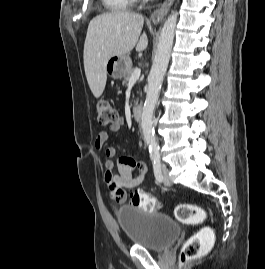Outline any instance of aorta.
Here are the masks:
<instances>
[{"label":"aorta","mask_w":265,"mask_h":269,"mask_svg":"<svg viewBox=\"0 0 265 269\" xmlns=\"http://www.w3.org/2000/svg\"><path fill=\"white\" fill-rule=\"evenodd\" d=\"M177 16L178 14L173 12L163 25L154 62L148 76V90L141 115L143 139L152 158L160 157V147L153 131L154 110L171 56Z\"/></svg>","instance_id":"aorta-1"}]
</instances>
